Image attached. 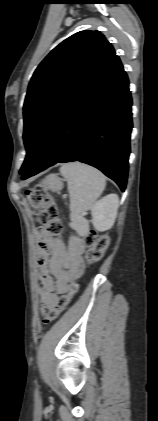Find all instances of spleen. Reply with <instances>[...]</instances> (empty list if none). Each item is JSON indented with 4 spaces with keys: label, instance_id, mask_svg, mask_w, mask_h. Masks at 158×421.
<instances>
[{
    "label": "spleen",
    "instance_id": "3e777b00",
    "mask_svg": "<svg viewBox=\"0 0 158 421\" xmlns=\"http://www.w3.org/2000/svg\"><path fill=\"white\" fill-rule=\"evenodd\" d=\"M70 196V226L84 236L89 229L84 213L93 208L106 185L105 176L96 168L81 162L66 163L60 168Z\"/></svg>",
    "mask_w": 158,
    "mask_h": 421
}]
</instances>
